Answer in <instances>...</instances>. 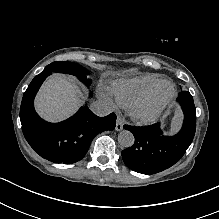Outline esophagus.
Listing matches in <instances>:
<instances>
[{
    "label": "esophagus",
    "mask_w": 219,
    "mask_h": 219,
    "mask_svg": "<svg viewBox=\"0 0 219 219\" xmlns=\"http://www.w3.org/2000/svg\"><path fill=\"white\" fill-rule=\"evenodd\" d=\"M123 121L120 117L117 118V123H116V126H115V130L116 131H121L123 129Z\"/></svg>",
    "instance_id": "obj_1"
}]
</instances>
